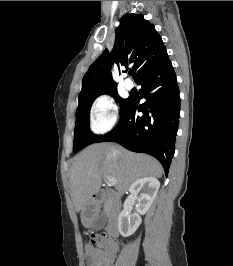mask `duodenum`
Wrapping results in <instances>:
<instances>
[{
  "instance_id": "duodenum-1",
  "label": "duodenum",
  "mask_w": 233,
  "mask_h": 266,
  "mask_svg": "<svg viewBox=\"0 0 233 266\" xmlns=\"http://www.w3.org/2000/svg\"><path fill=\"white\" fill-rule=\"evenodd\" d=\"M104 196H105L104 192L98 191L92 196V200L93 202H99L104 198ZM107 212H108V221H107L106 232L110 237L116 238L119 235L118 220L120 213V205L116 199L111 198L107 201Z\"/></svg>"
}]
</instances>
